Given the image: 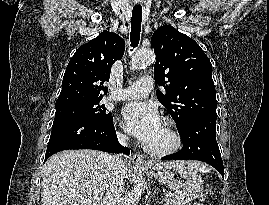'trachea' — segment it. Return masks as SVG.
<instances>
[{
	"instance_id": "obj_1",
	"label": "trachea",
	"mask_w": 269,
	"mask_h": 205,
	"mask_svg": "<svg viewBox=\"0 0 269 205\" xmlns=\"http://www.w3.org/2000/svg\"><path fill=\"white\" fill-rule=\"evenodd\" d=\"M141 22H142V7H133L132 19H131V33L130 41L133 48L137 47L140 39L141 32Z\"/></svg>"
}]
</instances>
